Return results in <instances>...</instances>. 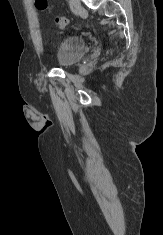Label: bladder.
I'll return each instance as SVG.
<instances>
[{
  "instance_id": "1",
  "label": "bladder",
  "mask_w": 163,
  "mask_h": 235,
  "mask_svg": "<svg viewBox=\"0 0 163 235\" xmlns=\"http://www.w3.org/2000/svg\"><path fill=\"white\" fill-rule=\"evenodd\" d=\"M88 51L87 43L75 35L66 36L57 48L56 61L59 67L68 68L77 64Z\"/></svg>"
}]
</instances>
